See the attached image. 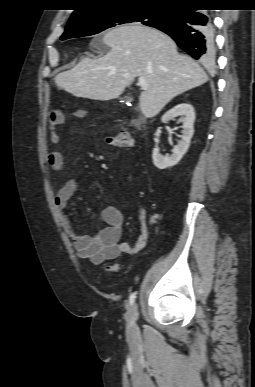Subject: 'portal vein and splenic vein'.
Wrapping results in <instances>:
<instances>
[{
    "mask_svg": "<svg viewBox=\"0 0 255 387\" xmlns=\"http://www.w3.org/2000/svg\"><path fill=\"white\" fill-rule=\"evenodd\" d=\"M138 83L143 89H147V82L144 77H139Z\"/></svg>",
    "mask_w": 255,
    "mask_h": 387,
    "instance_id": "portal-vein-and-splenic-vein-1",
    "label": "portal vein and splenic vein"
}]
</instances>
